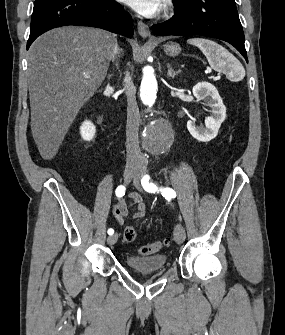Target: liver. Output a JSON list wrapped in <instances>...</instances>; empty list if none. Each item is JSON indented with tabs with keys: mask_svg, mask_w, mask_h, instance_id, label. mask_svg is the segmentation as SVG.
Masks as SVG:
<instances>
[{
	"mask_svg": "<svg viewBox=\"0 0 285 335\" xmlns=\"http://www.w3.org/2000/svg\"><path fill=\"white\" fill-rule=\"evenodd\" d=\"M116 44L115 34L106 30L67 26L30 46L31 130L44 160L56 156L78 112L104 82Z\"/></svg>",
	"mask_w": 285,
	"mask_h": 335,
	"instance_id": "6515ba94",
	"label": "liver"
}]
</instances>
